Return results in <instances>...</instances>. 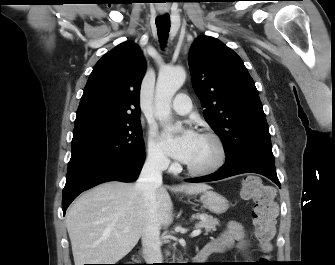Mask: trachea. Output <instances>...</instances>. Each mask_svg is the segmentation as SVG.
<instances>
[{"label":"trachea","mask_w":335,"mask_h":265,"mask_svg":"<svg viewBox=\"0 0 335 265\" xmlns=\"http://www.w3.org/2000/svg\"><path fill=\"white\" fill-rule=\"evenodd\" d=\"M158 36L162 47L166 44L170 31V16L168 14L156 18Z\"/></svg>","instance_id":"trachea-1"}]
</instances>
